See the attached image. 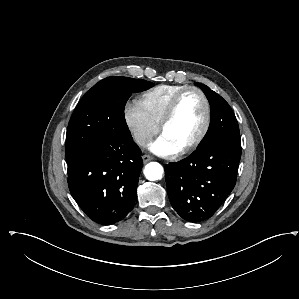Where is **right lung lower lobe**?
<instances>
[{
	"label": "right lung lower lobe",
	"mask_w": 299,
	"mask_h": 299,
	"mask_svg": "<svg viewBox=\"0 0 299 299\" xmlns=\"http://www.w3.org/2000/svg\"><path fill=\"white\" fill-rule=\"evenodd\" d=\"M142 166L132 137L102 144L68 165L71 195L93 221L113 224L131 211Z\"/></svg>",
	"instance_id": "obj_1"
}]
</instances>
